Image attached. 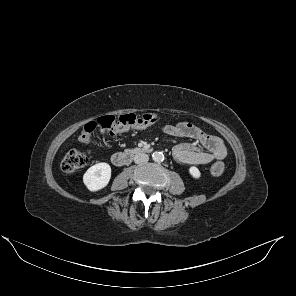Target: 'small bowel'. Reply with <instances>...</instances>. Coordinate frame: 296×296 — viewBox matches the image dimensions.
<instances>
[{
    "instance_id": "1",
    "label": "small bowel",
    "mask_w": 296,
    "mask_h": 296,
    "mask_svg": "<svg viewBox=\"0 0 296 296\" xmlns=\"http://www.w3.org/2000/svg\"><path fill=\"white\" fill-rule=\"evenodd\" d=\"M162 132L188 139L173 148L174 158L182 165H204L223 160L227 155L226 146L220 137L208 135L192 123L168 124L163 126Z\"/></svg>"
}]
</instances>
